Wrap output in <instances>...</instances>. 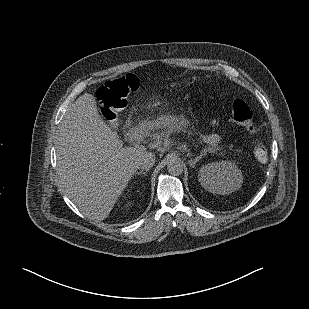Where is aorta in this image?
Returning <instances> with one entry per match:
<instances>
[{"label": "aorta", "mask_w": 309, "mask_h": 309, "mask_svg": "<svg viewBox=\"0 0 309 309\" xmlns=\"http://www.w3.org/2000/svg\"><path fill=\"white\" fill-rule=\"evenodd\" d=\"M184 164L177 156H172L167 160V171L174 176H179L183 173Z\"/></svg>", "instance_id": "762f6f07"}]
</instances>
